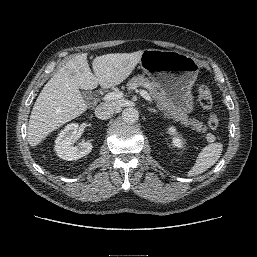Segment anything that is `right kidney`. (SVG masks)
I'll use <instances>...</instances> for the list:
<instances>
[{
	"label": "right kidney",
	"mask_w": 257,
	"mask_h": 257,
	"mask_svg": "<svg viewBox=\"0 0 257 257\" xmlns=\"http://www.w3.org/2000/svg\"><path fill=\"white\" fill-rule=\"evenodd\" d=\"M78 127L77 123H70L58 134L54 150L59 158L72 161L91 152L93 146L90 142H82L80 146H72L77 136Z\"/></svg>",
	"instance_id": "1"
}]
</instances>
